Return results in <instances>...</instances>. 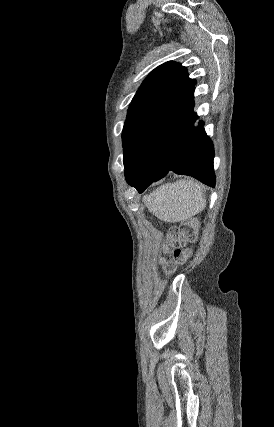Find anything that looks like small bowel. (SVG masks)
Segmentation results:
<instances>
[{
	"label": "small bowel",
	"mask_w": 274,
	"mask_h": 427,
	"mask_svg": "<svg viewBox=\"0 0 274 427\" xmlns=\"http://www.w3.org/2000/svg\"><path fill=\"white\" fill-rule=\"evenodd\" d=\"M165 254H168L170 257H181V256H183L184 251H183V249H181L180 251H165ZM158 267H159L160 270H167L168 267H169V264H168L167 261H160L159 264H158ZM175 268L177 270H182L184 268V263L182 261H177L175 263ZM157 275L158 276H163L164 272L163 271H158ZM161 280H162L163 283L166 284V283L169 282L170 279H169L168 276L165 275V276L162 277Z\"/></svg>",
	"instance_id": "1"
}]
</instances>
